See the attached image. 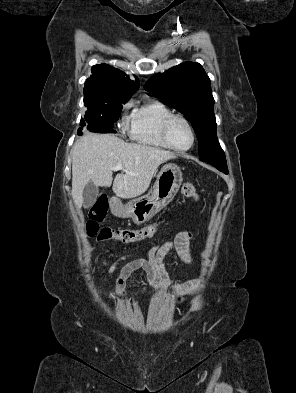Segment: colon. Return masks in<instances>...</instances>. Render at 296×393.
Instances as JSON below:
<instances>
[{"mask_svg": "<svg viewBox=\"0 0 296 393\" xmlns=\"http://www.w3.org/2000/svg\"><path fill=\"white\" fill-rule=\"evenodd\" d=\"M181 191L187 198L195 200L199 198L196 188L191 182H185L182 185ZM107 208V200L100 199L89 212L86 231L90 237L96 238L98 241H114L123 244L132 243L152 237L159 228L156 224L136 229L100 227L99 223L106 216Z\"/></svg>", "mask_w": 296, "mask_h": 393, "instance_id": "1", "label": "colon"}]
</instances>
